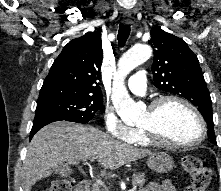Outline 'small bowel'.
Returning a JSON list of instances; mask_svg holds the SVG:
<instances>
[{
  "instance_id": "obj_1",
  "label": "small bowel",
  "mask_w": 221,
  "mask_h": 191,
  "mask_svg": "<svg viewBox=\"0 0 221 191\" xmlns=\"http://www.w3.org/2000/svg\"><path fill=\"white\" fill-rule=\"evenodd\" d=\"M140 191H177V190L169 181H164L163 183L151 182Z\"/></svg>"
}]
</instances>
